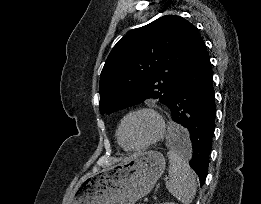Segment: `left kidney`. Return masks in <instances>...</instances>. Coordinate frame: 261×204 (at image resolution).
<instances>
[{
	"label": "left kidney",
	"instance_id": "5707ae66",
	"mask_svg": "<svg viewBox=\"0 0 261 204\" xmlns=\"http://www.w3.org/2000/svg\"><path fill=\"white\" fill-rule=\"evenodd\" d=\"M161 204H177V203H174V202H164V203H161Z\"/></svg>",
	"mask_w": 261,
	"mask_h": 204
}]
</instances>
